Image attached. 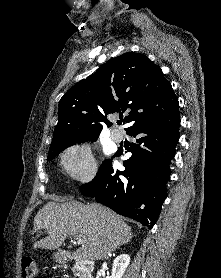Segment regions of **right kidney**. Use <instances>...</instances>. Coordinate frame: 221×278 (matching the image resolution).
<instances>
[{
    "mask_svg": "<svg viewBox=\"0 0 221 278\" xmlns=\"http://www.w3.org/2000/svg\"><path fill=\"white\" fill-rule=\"evenodd\" d=\"M129 263H130V256L128 254H122L116 257L113 262L111 278H122Z\"/></svg>",
    "mask_w": 221,
    "mask_h": 278,
    "instance_id": "obj_1",
    "label": "right kidney"
}]
</instances>
